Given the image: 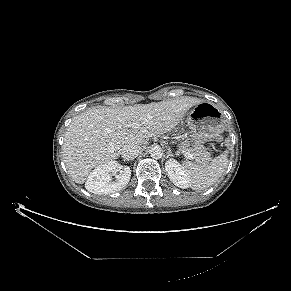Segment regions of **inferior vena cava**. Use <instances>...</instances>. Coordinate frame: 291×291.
Segmentation results:
<instances>
[{"instance_id": "602c4592", "label": "inferior vena cava", "mask_w": 291, "mask_h": 291, "mask_svg": "<svg viewBox=\"0 0 291 291\" xmlns=\"http://www.w3.org/2000/svg\"><path fill=\"white\" fill-rule=\"evenodd\" d=\"M141 152V147L135 144H126L121 149V155L126 160L136 158Z\"/></svg>"}]
</instances>
